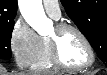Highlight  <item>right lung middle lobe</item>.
Segmentation results:
<instances>
[{"mask_svg": "<svg viewBox=\"0 0 107 75\" xmlns=\"http://www.w3.org/2000/svg\"><path fill=\"white\" fill-rule=\"evenodd\" d=\"M13 27L14 21L0 23V59L11 58V36Z\"/></svg>", "mask_w": 107, "mask_h": 75, "instance_id": "right-lung-middle-lobe-1", "label": "right lung middle lobe"}]
</instances>
